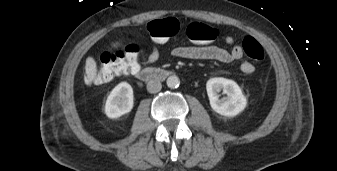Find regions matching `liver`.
Listing matches in <instances>:
<instances>
[{
    "label": "liver",
    "instance_id": "obj_1",
    "mask_svg": "<svg viewBox=\"0 0 337 171\" xmlns=\"http://www.w3.org/2000/svg\"><path fill=\"white\" fill-rule=\"evenodd\" d=\"M85 71L88 77V80L92 82L97 74V64L93 57H88L85 63Z\"/></svg>",
    "mask_w": 337,
    "mask_h": 171
}]
</instances>
